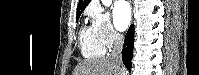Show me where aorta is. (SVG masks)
<instances>
[{
  "instance_id": "762f6f07",
  "label": "aorta",
  "mask_w": 199,
  "mask_h": 75,
  "mask_svg": "<svg viewBox=\"0 0 199 75\" xmlns=\"http://www.w3.org/2000/svg\"><path fill=\"white\" fill-rule=\"evenodd\" d=\"M112 0H102L104 6H110Z\"/></svg>"
}]
</instances>
